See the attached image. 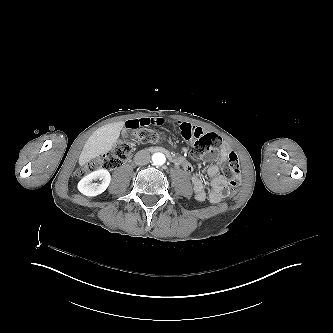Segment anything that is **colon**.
<instances>
[{
  "instance_id": "5ec220e1",
  "label": "colon",
  "mask_w": 333,
  "mask_h": 333,
  "mask_svg": "<svg viewBox=\"0 0 333 333\" xmlns=\"http://www.w3.org/2000/svg\"><path fill=\"white\" fill-rule=\"evenodd\" d=\"M181 131L186 141L193 139V142H195L191 150V157L194 160H199L209 153L210 150L220 149L223 146V142L219 137L211 133L206 134V131L201 126H196L192 131V126L189 123H184L181 124ZM128 135L130 136V140L138 141L148 146L156 144L161 138L160 134L147 129L143 131L128 129ZM131 153L132 145L129 140L118 141L109 154L102 155L88 162L86 165L79 167L76 170V174L84 175L100 170L116 168L122 160H127ZM228 157L226 172L229 174L230 187L235 192L241 181V168L238 155L235 152H229Z\"/></svg>"
}]
</instances>
